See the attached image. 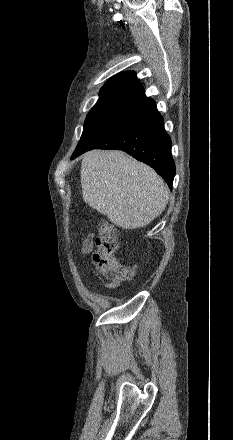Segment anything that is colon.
<instances>
[{"instance_id": "5ec220e1", "label": "colon", "mask_w": 233, "mask_h": 440, "mask_svg": "<svg viewBox=\"0 0 233 440\" xmlns=\"http://www.w3.org/2000/svg\"><path fill=\"white\" fill-rule=\"evenodd\" d=\"M95 246L93 262L101 277L113 283H119L133 277L134 266L125 265L116 257L118 241L115 228L109 221L101 220L99 222Z\"/></svg>"}]
</instances>
